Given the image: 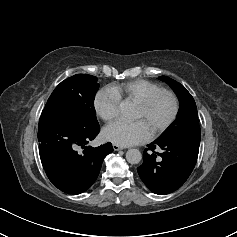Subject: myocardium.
<instances>
[{
  "instance_id": "obj_1",
  "label": "myocardium",
  "mask_w": 237,
  "mask_h": 237,
  "mask_svg": "<svg viewBox=\"0 0 237 237\" xmlns=\"http://www.w3.org/2000/svg\"><path fill=\"white\" fill-rule=\"evenodd\" d=\"M163 96H167L172 100V103H173L172 113L170 114V116L168 117L166 121H164L162 124H160L159 126H157L156 128L152 130V132L150 133V138H155L159 136L176 120L179 113V109H180L179 99L176 96V94L172 91L160 90L158 92L151 94L147 98L135 103L136 106L144 114H146L152 108L155 102Z\"/></svg>"
}]
</instances>
